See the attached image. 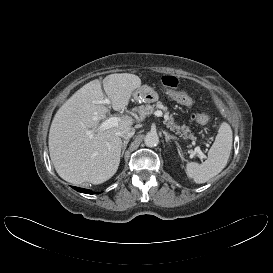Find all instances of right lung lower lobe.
Segmentation results:
<instances>
[{
    "instance_id": "right-lung-lower-lobe-1",
    "label": "right lung lower lobe",
    "mask_w": 273,
    "mask_h": 273,
    "mask_svg": "<svg viewBox=\"0 0 273 273\" xmlns=\"http://www.w3.org/2000/svg\"><path fill=\"white\" fill-rule=\"evenodd\" d=\"M75 190H77L78 192H82V193H86V194H92L93 192L91 190L88 189H84V188H79V187H73Z\"/></svg>"
}]
</instances>
